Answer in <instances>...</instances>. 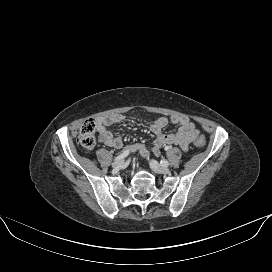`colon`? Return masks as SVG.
Listing matches in <instances>:
<instances>
[{
  "mask_svg": "<svg viewBox=\"0 0 272 272\" xmlns=\"http://www.w3.org/2000/svg\"><path fill=\"white\" fill-rule=\"evenodd\" d=\"M96 123L93 119L85 120L79 130L78 143L85 149H91L96 144ZM198 147L206 143L204 137H199L195 142Z\"/></svg>",
  "mask_w": 272,
  "mask_h": 272,
  "instance_id": "obj_1",
  "label": "colon"
}]
</instances>
